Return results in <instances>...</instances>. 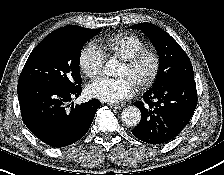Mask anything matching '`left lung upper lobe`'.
<instances>
[{
	"mask_svg": "<svg viewBox=\"0 0 224 175\" xmlns=\"http://www.w3.org/2000/svg\"><path fill=\"white\" fill-rule=\"evenodd\" d=\"M142 30L159 55V73L152 88L180 77H194L192 64L180 45L164 30L151 23L131 26Z\"/></svg>",
	"mask_w": 224,
	"mask_h": 175,
	"instance_id": "5c2ea615",
	"label": "left lung upper lobe"
}]
</instances>
